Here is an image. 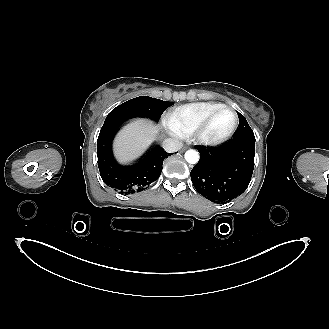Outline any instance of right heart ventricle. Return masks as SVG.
Returning <instances> with one entry per match:
<instances>
[{
  "label": "right heart ventricle",
  "mask_w": 329,
  "mask_h": 329,
  "mask_svg": "<svg viewBox=\"0 0 329 329\" xmlns=\"http://www.w3.org/2000/svg\"><path fill=\"white\" fill-rule=\"evenodd\" d=\"M224 105L220 102H196L170 111L169 124L181 135H190L195 127L213 110Z\"/></svg>",
  "instance_id": "1"
}]
</instances>
